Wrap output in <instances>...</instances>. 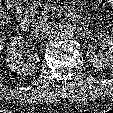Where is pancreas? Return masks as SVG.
<instances>
[{"label":"pancreas","mask_w":113,"mask_h":113,"mask_svg":"<svg viewBox=\"0 0 113 113\" xmlns=\"http://www.w3.org/2000/svg\"><path fill=\"white\" fill-rule=\"evenodd\" d=\"M48 17L44 14H38V12L35 10L32 12V21L34 24L41 23L43 21H46Z\"/></svg>","instance_id":"1"}]
</instances>
